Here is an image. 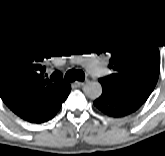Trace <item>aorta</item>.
<instances>
[{
	"instance_id": "1",
	"label": "aorta",
	"mask_w": 165,
	"mask_h": 156,
	"mask_svg": "<svg viewBox=\"0 0 165 156\" xmlns=\"http://www.w3.org/2000/svg\"><path fill=\"white\" fill-rule=\"evenodd\" d=\"M83 92L90 99H97L102 94V86L97 81H90L83 87Z\"/></svg>"
}]
</instances>
